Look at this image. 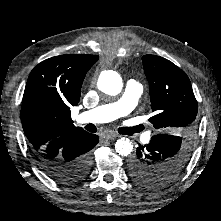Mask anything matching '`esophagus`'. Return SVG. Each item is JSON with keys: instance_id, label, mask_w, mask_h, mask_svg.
Instances as JSON below:
<instances>
[{"instance_id": "1", "label": "esophagus", "mask_w": 221, "mask_h": 221, "mask_svg": "<svg viewBox=\"0 0 221 221\" xmlns=\"http://www.w3.org/2000/svg\"><path fill=\"white\" fill-rule=\"evenodd\" d=\"M117 137H118V135L115 133H108V134L104 135L103 138L106 140H113V139H116Z\"/></svg>"}]
</instances>
